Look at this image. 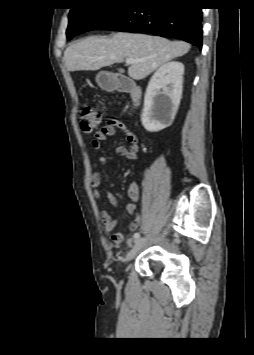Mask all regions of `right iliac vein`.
<instances>
[{
  "mask_svg": "<svg viewBox=\"0 0 254 355\" xmlns=\"http://www.w3.org/2000/svg\"><path fill=\"white\" fill-rule=\"evenodd\" d=\"M148 240V238H143V239H137L134 242V245L132 246V248L130 249V251L127 253L126 258H125V262H129L130 260L133 259V257L135 256V254L139 251V249L141 248V246Z\"/></svg>",
  "mask_w": 254,
  "mask_h": 355,
  "instance_id": "1",
  "label": "right iliac vein"
}]
</instances>
